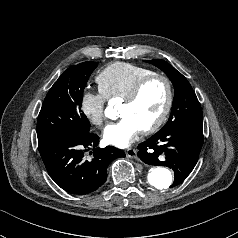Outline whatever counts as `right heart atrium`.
I'll return each instance as SVG.
<instances>
[{"instance_id": "right-heart-atrium-1", "label": "right heart atrium", "mask_w": 238, "mask_h": 238, "mask_svg": "<svg viewBox=\"0 0 238 238\" xmlns=\"http://www.w3.org/2000/svg\"><path fill=\"white\" fill-rule=\"evenodd\" d=\"M106 102L107 97L100 89L97 91L87 90L81 97V110L92 124L101 126L106 121Z\"/></svg>"}]
</instances>
